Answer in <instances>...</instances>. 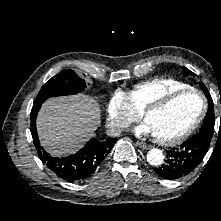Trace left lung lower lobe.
Segmentation results:
<instances>
[{"instance_id":"left-lung-lower-lobe-1","label":"left lung lower lobe","mask_w":221,"mask_h":221,"mask_svg":"<svg viewBox=\"0 0 221 221\" xmlns=\"http://www.w3.org/2000/svg\"><path fill=\"white\" fill-rule=\"evenodd\" d=\"M209 145L207 137L201 134L189 138L167 151L165 163L155 169L156 173L168 180L187 176L202 162Z\"/></svg>"}]
</instances>
